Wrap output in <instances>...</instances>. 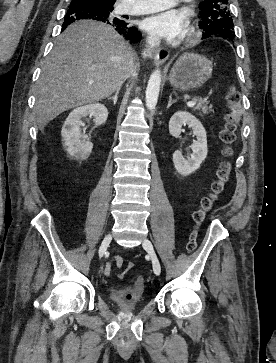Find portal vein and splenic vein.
<instances>
[{
    "instance_id": "1",
    "label": "portal vein and splenic vein",
    "mask_w": 276,
    "mask_h": 363,
    "mask_svg": "<svg viewBox=\"0 0 276 363\" xmlns=\"http://www.w3.org/2000/svg\"><path fill=\"white\" fill-rule=\"evenodd\" d=\"M196 105V102L195 101H189L188 103H187V106H189V107H193V106H195Z\"/></svg>"
}]
</instances>
